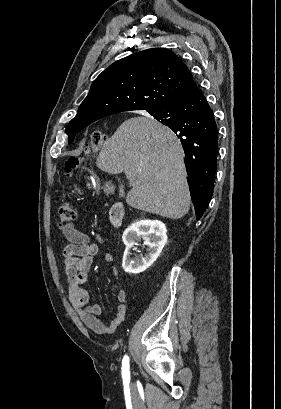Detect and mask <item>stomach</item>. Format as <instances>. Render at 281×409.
Returning a JSON list of instances; mask_svg holds the SVG:
<instances>
[{
	"label": "stomach",
	"instance_id": "obj_1",
	"mask_svg": "<svg viewBox=\"0 0 281 409\" xmlns=\"http://www.w3.org/2000/svg\"><path fill=\"white\" fill-rule=\"evenodd\" d=\"M103 188H104L105 192H114V190H115L114 184H110V182H106V184H104Z\"/></svg>",
	"mask_w": 281,
	"mask_h": 409
}]
</instances>
